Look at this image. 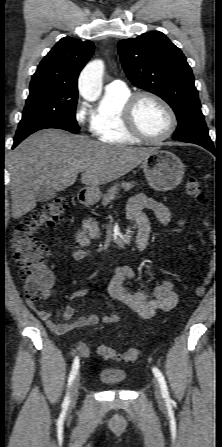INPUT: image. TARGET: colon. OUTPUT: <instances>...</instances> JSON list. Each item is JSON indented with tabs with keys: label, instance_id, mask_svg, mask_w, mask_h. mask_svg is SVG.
Segmentation results:
<instances>
[{
	"label": "colon",
	"instance_id": "5ec220e1",
	"mask_svg": "<svg viewBox=\"0 0 222 447\" xmlns=\"http://www.w3.org/2000/svg\"><path fill=\"white\" fill-rule=\"evenodd\" d=\"M186 193L189 197L201 201L203 188L200 182L191 177L186 183ZM67 209V200L63 197L55 198L43 207L23 218L14 230L11 247L13 249V262L19 269V275L24 281V293L27 302H37L45 285L50 281L51 273L44 263L50 255L47 244L35 237L38 229L53 226L59 223ZM206 226L211 235L214 233L212 224L207 221ZM216 269L214 255L210 257L208 268L203 282L196 288L195 296L202 297ZM97 353L105 360L134 362L139 357L137 348H129L119 353L113 348L100 345Z\"/></svg>",
	"mask_w": 222,
	"mask_h": 447
}]
</instances>
